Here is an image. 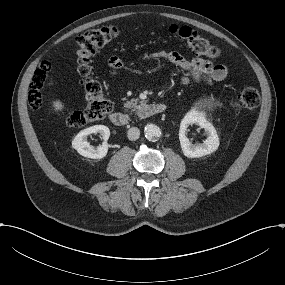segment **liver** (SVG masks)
I'll return each instance as SVG.
<instances>
[{
  "mask_svg": "<svg viewBox=\"0 0 285 285\" xmlns=\"http://www.w3.org/2000/svg\"><path fill=\"white\" fill-rule=\"evenodd\" d=\"M53 107L55 110H62L64 108V105L60 100H56L53 102Z\"/></svg>",
  "mask_w": 285,
  "mask_h": 285,
  "instance_id": "liver-1",
  "label": "liver"
}]
</instances>
